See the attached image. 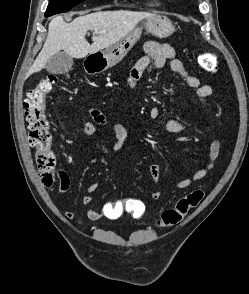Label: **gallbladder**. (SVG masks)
Instances as JSON below:
<instances>
[{"instance_id":"1","label":"gallbladder","mask_w":249,"mask_h":294,"mask_svg":"<svg viewBox=\"0 0 249 294\" xmlns=\"http://www.w3.org/2000/svg\"><path fill=\"white\" fill-rule=\"evenodd\" d=\"M73 58L60 51L51 56L46 62L45 68L49 73L62 74L72 69Z\"/></svg>"}]
</instances>
